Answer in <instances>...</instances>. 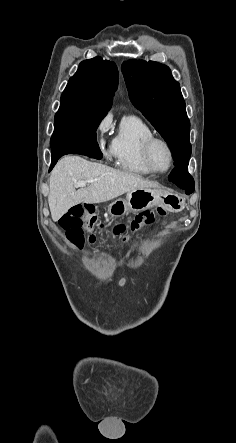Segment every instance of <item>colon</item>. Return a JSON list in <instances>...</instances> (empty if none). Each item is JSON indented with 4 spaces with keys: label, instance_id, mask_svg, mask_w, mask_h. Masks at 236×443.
I'll use <instances>...</instances> for the list:
<instances>
[{
    "label": "colon",
    "instance_id": "obj_1",
    "mask_svg": "<svg viewBox=\"0 0 236 443\" xmlns=\"http://www.w3.org/2000/svg\"><path fill=\"white\" fill-rule=\"evenodd\" d=\"M165 213L163 208L143 211L128 223L115 224L111 232L114 236H123V241L128 242L130 233L141 231L144 227L153 224L158 217L164 216ZM59 223L66 235L79 249H84L87 245H92L95 242V236L90 232L92 227L104 229L98 216L87 206L81 204L71 206L61 216ZM84 230L88 234H85Z\"/></svg>",
    "mask_w": 236,
    "mask_h": 443
}]
</instances>
